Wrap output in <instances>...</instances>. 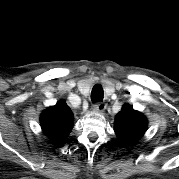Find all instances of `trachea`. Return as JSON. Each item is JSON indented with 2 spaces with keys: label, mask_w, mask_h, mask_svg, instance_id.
Segmentation results:
<instances>
[{
  "label": "trachea",
  "mask_w": 179,
  "mask_h": 179,
  "mask_svg": "<svg viewBox=\"0 0 179 179\" xmlns=\"http://www.w3.org/2000/svg\"><path fill=\"white\" fill-rule=\"evenodd\" d=\"M103 88L100 84L93 86L91 91V101L93 103L101 102L103 100Z\"/></svg>",
  "instance_id": "obj_1"
}]
</instances>
